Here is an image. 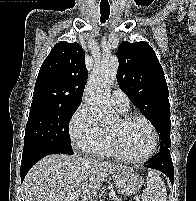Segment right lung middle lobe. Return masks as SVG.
Instances as JSON below:
<instances>
[{
  "mask_svg": "<svg viewBox=\"0 0 196 201\" xmlns=\"http://www.w3.org/2000/svg\"><path fill=\"white\" fill-rule=\"evenodd\" d=\"M78 106L32 103L23 152L38 146H55L72 150L68 123Z\"/></svg>",
  "mask_w": 196,
  "mask_h": 201,
  "instance_id": "right-lung-middle-lobe-1",
  "label": "right lung middle lobe"
}]
</instances>
